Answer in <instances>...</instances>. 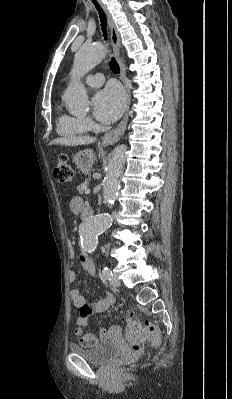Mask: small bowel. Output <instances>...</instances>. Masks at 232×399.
Wrapping results in <instances>:
<instances>
[{"instance_id": "c3829d8e", "label": "small bowel", "mask_w": 232, "mask_h": 399, "mask_svg": "<svg viewBox=\"0 0 232 399\" xmlns=\"http://www.w3.org/2000/svg\"><path fill=\"white\" fill-rule=\"evenodd\" d=\"M70 208L72 211H77L81 208V199L78 196L72 197L70 201ZM67 245L69 249V258H78L81 264V269L85 270L91 277H95L96 269L89 259V254L84 250H81L79 253H77L75 245L71 240L67 242ZM69 283L70 285L76 283V274L73 272L69 274ZM69 298L72 309L76 314L77 326L84 329H94L99 332L101 336H107L110 333H116L119 331V326L117 324L95 328L89 322V317L92 313L107 310L113 305L114 296L112 294L106 293L105 298L93 305H88L86 299L76 290H71L69 292Z\"/></svg>"}]
</instances>
